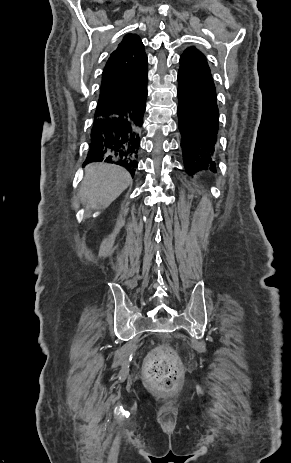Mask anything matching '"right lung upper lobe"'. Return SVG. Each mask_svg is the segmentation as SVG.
<instances>
[{
	"instance_id": "obj_1",
	"label": "right lung upper lobe",
	"mask_w": 291,
	"mask_h": 463,
	"mask_svg": "<svg viewBox=\"0 0 291 463\" xmlns=\"http://www.w3.org/2000/svg\"><path fill=\"white\" fill-rule=\"evenodd\" d=\"M144 45L135 34H127L113 51L102 74L95 119L106 116L137 90L147 75Z\"/></svg>"
}]
</instances>
